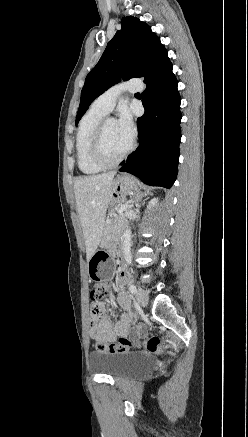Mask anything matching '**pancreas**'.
<instances>
[{"mask_svg": "<svg viewBox=\"0 0 248 437\" xmlns=\"http://www.w3.org/2000/svg\"><path fill=\"white\" fill-rule=\"evenodd\" d=\"M125 221H126V214L123 212L120 213L118 217L113 218L107 223L105 227V231L108 236V239L112 240L119 237Z\"/></svg>", "mask_w": 248, "mask_h": 437, "instance_id": "cf45deb5", "label": "pancreas"}]
</instances>
